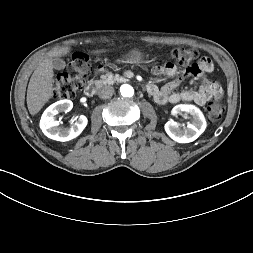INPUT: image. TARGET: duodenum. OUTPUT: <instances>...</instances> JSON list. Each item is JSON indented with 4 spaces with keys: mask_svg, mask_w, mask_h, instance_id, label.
Instances as JSON below:
<instances>
[{
    "mask_svg": "<svg viewBox=\"0 0 253 253\" xmlns=\"http://www.w3.org/2000/svg\"><path fill=\"white\" fill-rule=\"evenodd\" d=\"M104 84L105 80L103 79H97L88 83L84 89L85 95L88 97L94 96Z\"/></svg>",
    "mask_w": 253,
    "mask_h": 253,
    "instance_id": "obj_1",
    "label": "duodenum"
}]
</instances>
